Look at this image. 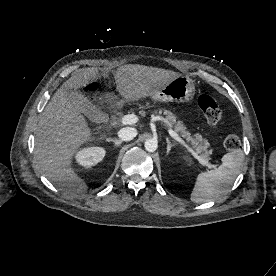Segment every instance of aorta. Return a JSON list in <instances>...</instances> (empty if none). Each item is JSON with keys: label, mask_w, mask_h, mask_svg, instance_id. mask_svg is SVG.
<instances>
[{"label": "aorta", "mask_w": 276, "mask_h": 276, "mask_svg": "<svg viewBox=\"0 0 276 276\" xmlns=\"http://www.w3.org/2000/svg\"><path fill=\"white\" fill-rule=\"evenodd\" d=\"M144 146L148 152H154L157 150L158 144L157 141L154 139H147Z\"/></svg>", "instance_id": "obj_1"}]
</instances>
